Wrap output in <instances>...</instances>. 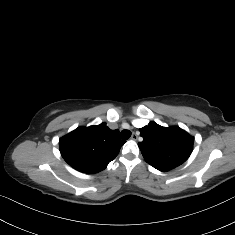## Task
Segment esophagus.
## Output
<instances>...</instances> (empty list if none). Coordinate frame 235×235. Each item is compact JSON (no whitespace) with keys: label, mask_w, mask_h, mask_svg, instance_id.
Here are the masks:
<instances>
[{"label":"esophagus","mask_w":235,"mask_h":235,"mask_svg":"<svg viewBox=\"0 0 235 235\" xmlns=\"http://www.w3.org/2000/svg\"><path fill=\"white\" fill-rule=\"evenodd\" d=\"M131 139L132 140H137L138 139V136L135 132L132 133Z\"/></svg>","instance_id":"esophagus-1"}]
</instances>
